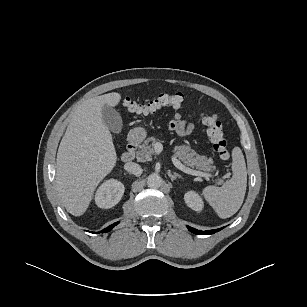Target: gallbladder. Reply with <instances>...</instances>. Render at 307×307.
<instances>
[{
	"instance_id": "obj_1",
	"label": "gallbladder",
	"mask_w": 307,
	"mask_h": 307,
	"mask_svg": "<svg viewBox=\"0 0 307 307\" xmlns=\"http://www.w3.org/2000/svg\"><path fill=\"white\" fill-rule=\"evenodd\" d=\"M102 119L104 124L114 133H120L122 130L121 115L111 106L104 105L102 108Z\"/></svg>"
}]
</instances>
